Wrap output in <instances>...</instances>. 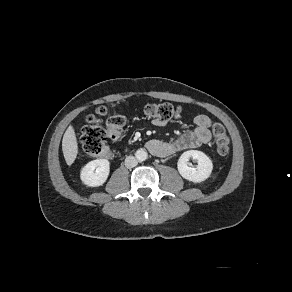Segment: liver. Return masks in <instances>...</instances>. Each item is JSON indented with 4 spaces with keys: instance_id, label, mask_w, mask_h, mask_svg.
I'll list each match as a JSON object with an SVG mask.
<instances>
[{
    "instance_id": "1",
    "label": "liver",
    "mask_w": 292,
    "mask_h": 292,
    "mask_svg": "<svg viewBox=\"0 0 292 292\" xmlns=\"http://www.w3.org/2000/svg\"><path fill=\"white\" fill-rule=\"evenodd\" d=\"M62 150L67 165H72L78 154L76 135L72 125H70L64 133Z\"/></svg>"
}]
</instances>
